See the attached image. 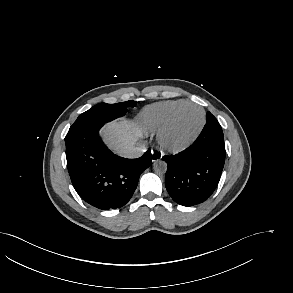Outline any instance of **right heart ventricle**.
<instances>
[{"mask_svg": "<svg viewBox=\"0 0 293 293\" xmlns=\"http://www.w3.org/2000/svg\"><path fill=\"white\" fill-rule=\"evenodd\" d=\"M185 100L161 101L146 107L141 114V121L147 133L154 134L166 123L171 112Z\"/></svg>", "mask_w": 293, "mask_h": 293, "instance_id": "1", "label": "right heart ventricle"}]
</instances>
